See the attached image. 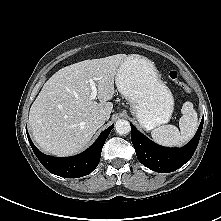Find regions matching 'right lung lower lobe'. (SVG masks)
I'll return each mask as SVG.
<instances>
[{"mask_svg":"<svg viewBox=\"0 0 221 221\" xmlns=\"http://www.w3.org/2000/svg\"><path fill=\"white\" fill-rule=\"evenodd\" d=\"M112 128L113 125L104 130L83 153L66 158L52 157L41 153L27 136L36 157L49 172L65 178H79L90 174L98 166L103 145Z\"/></svg>","mask_w":221,"mask_h":221,"instance_id":"obj_1","label":"right lung lower lobe"}]
</instances>
